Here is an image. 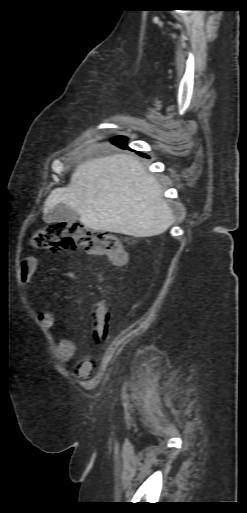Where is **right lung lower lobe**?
Here are the masks:
<instances>
[{
  "label": "right lung lower lobe",
  "instance_id": "right-lung-lower-lobe-1",
  "mask_svg": "<svg viewBox=\"0 0 247 513\" xmlns=\"http://www.w3.org/2000/svg\"><path fill=\"white\" fill-rule=\"evenodd\" d=\"M111 141H112V143L118 145L121 148H127L126 138H124V137H116V138H113ZM140 155L144 156L143 154H140Z\"/></svg>",
  "mask_w": 247,
  "mask_h": 513
}]
</instances>
